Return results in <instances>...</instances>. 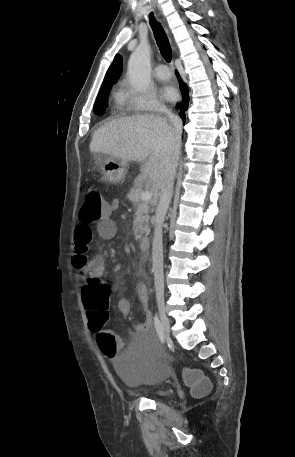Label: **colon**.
<instances>
[{
    "label": "colon",
    "instance_id": "5ec220e1",
    "mask_svg": "<svg viewBox=\"0 0 295 457\" xmlns=\"http://www.w3.org/2000/svg\"><path fill=\"white\" fill-rule=\"evenodd\" d=\"M109 215L108 203L102 196L97 185L90 186L85 193L84 203L79 211L80 224L90 226L100 222ZM87 252L79 248L73 257V266L83 276L87 284L82 290V302L87 312L90 329L97 338L102 359H112L113 362L127 361V344L122 341V333H111L106 325L108 320L109 287L99 278H93L87 271ZM186 383L195 396L203 395L209 390V381L202 380L200 369L184 368L182 371Z\"/></svg>",
    "mask_w": 295,
    "mask_h": 457
}]
</instances>
